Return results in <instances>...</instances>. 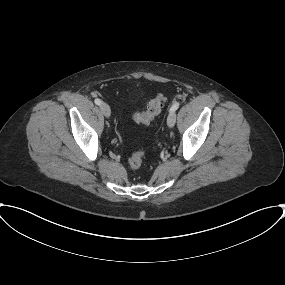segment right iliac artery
Returning a JSON list of instances; mask_svg holds the SVG:
<instances>
[{"label":"right iliac artery","mask_w":285,"mask_h":285,"mask_svg":"<svg viewBox=\"0 0 285 285\" xmlns=\"http://www.w3.org/2000/svg\"><path fill=\"white\" fill-rule=\"evenodd\" d=\"M95 103L97 104V105H100L102 102H101V100L100 99H95Z\"/></svg>","instance_id":"obj_1"}]
</instances>
